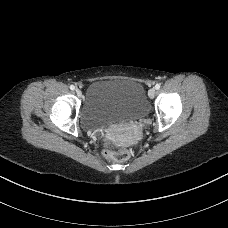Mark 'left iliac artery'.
I'll use <instances>...</instances> for the list:
<instances>
[{"instance_id":"left-iliac-artery-1","label":"left iliac artery","mask_w":228,"mask_h":228,"mask_svg":"<svg viewBox=\"0 0 228 228\" xmlns=\"http://www.w3.org/2000/svg\"><path fill=\"white\" fill-rule=\"evenodd\" d=\"M159 88H160V84H156V85H155V89L158 90Z\"/></svg>"}]
</instances>
